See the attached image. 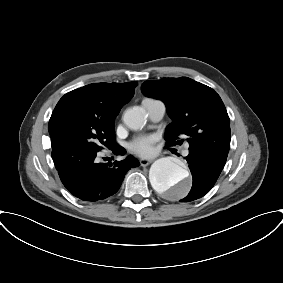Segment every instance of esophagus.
I'll use <instances>...</instances> for the list:
<instances>
[{"instance_id": "34e87169", "label": "esophagus", "mask_w": 283, "mask_h": 283, "mask_svg": "<svg viewBox=\"0 0 283 283\" xmlns=\"http://www.w3.org/2000/svg\"><path fill=\"white\" fill-rule=\"evenodd\" d=\"M150 163H152V160H146V159L140 160V165L143 166V167L148 166Z\"/></svg>"}]
</instances>
